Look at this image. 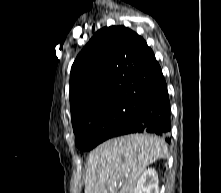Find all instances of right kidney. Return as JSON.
I'll list each match as a JSON object with an SVG mask.
<instances>
[{
	"mask_svg": "<svg viewBox=\"0 0 221 193\" xmlns=\"http://www.w3.org/2000/svg\"><path fill=\"white\" fill-rule=\"evenodd\" d=\"M158 174L155 169L148 168L140 176L134 193H159Z\"/></svg>",
	"mask_w": 221,
	"mask_h": 193,
	"instance_id": "ca27d5eb",
	"label": "right kidney"
}]
</instances>
